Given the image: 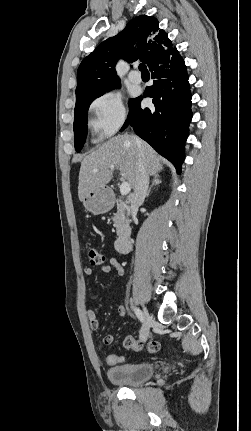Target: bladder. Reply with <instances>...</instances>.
<instances>
[{
  "label": "bladder",
  "instance_id": "obj_1",
  "mask_svg": "<svg viewBox=\"0 0 251 431\" xmlns=\"http://www.w3.org/2000/svg\"><path fill=\"white\" fill-rule=\"evenodd\" d=\"M155 372L152 364L130 363L115 365L107 369V378L115 385L137 386L149 380Z\"/></svg>",
  "mask_w": 251,
  "mask_h": 431
}]
</instances>
